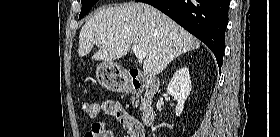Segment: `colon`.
<instances>
[{
  "label": "colon",
  "instance_id": "5ec220e1",
  "mask_svg": "<svg viewBox=\"0 0 280 137\" xmlns=\"http://www.w3.org/2000/svg\"><path fill=\"white\" fill-rule=\"evenodd\" d=\"M82 111L90 118H95L99 114V104L94 100H84L81 104ZM129 137H143L142 130L136 125L131 126Z\"/></svg>",
  "mask_w": 280,
  "mask_h": 137
}]
</instances>
